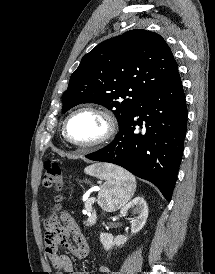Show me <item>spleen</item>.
Returning a JSON list of instances; mask_svg holds the SVG:
<instances>
[{
    "instance_id": "obj_1",
    "label": "spleen",
    "mask_w": 215,
    "mask_h": 274,
    "mask_svg": "<svg viewBox=\"0 0 215 274\" xmlns=\"http://www.w3.org/2000/svg\"><path fill=\"white\" fill-rule=\"evenodd\" d=\"M84 171L105 180L98 193V203L105 211L123 207L134 195L135 177L120 167L95 164L86 167Z\"/></svg>"
}]
</instances>
